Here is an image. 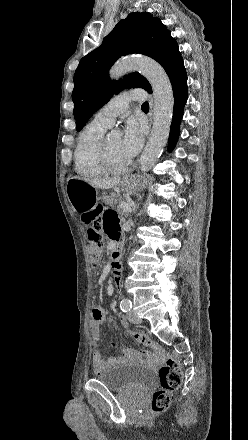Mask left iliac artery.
I'll return each instance as SVG.
<instances>
[{
	"mask_svg": "<svg viewBox=\"0 0 248 440\" xmlns=\"http://www.w3.org/2000/svg\"><path fill=\"white\" fill-rule=\"evenodd\" d=\"M120 308H121V310H122L123 312H128V311H130L131 308H132V303H131V301H130L129 299H127V298L122 299L121 302H120Z\"/></svg>",
	"mask_w": 248,
	"mask_h": 440,
	"instance_id": "left-iliac-artery-1",
	"label": "left iliac artery"
}]
</instances>
